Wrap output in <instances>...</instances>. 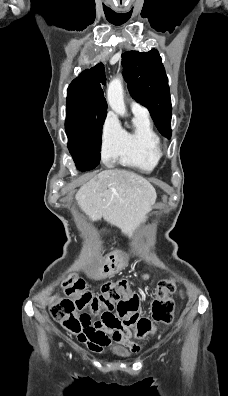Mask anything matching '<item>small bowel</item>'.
Masks as SVG:
<instances>
[{"label":"small bowel","mask_w":228,"mask_h":396,"mask_svg":"<svg viewBox=\"0 0 228 396\" xmlns=\"http://www.w3.org/2000/svg\"><path fill=\"white\" fill-rule=\"evenodd\" d=\"M122 265L117 257H109L107 263L103 266L104 273H111ZM149 276L144 275L147 279ZM132 331L129 328L111 329L107 327H94L89 324L86 325L78 334V340L81 343L87 344L90 350L94 352H101L104 347L110 344L111 341L128 346L132 351L136 352L140 347L131 341Z\"/></svg>","instance_id":"1"}]
</instances>
